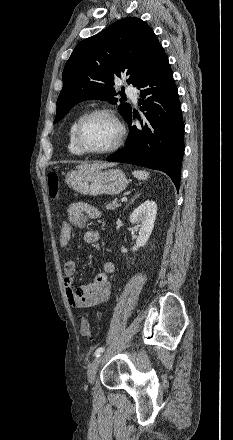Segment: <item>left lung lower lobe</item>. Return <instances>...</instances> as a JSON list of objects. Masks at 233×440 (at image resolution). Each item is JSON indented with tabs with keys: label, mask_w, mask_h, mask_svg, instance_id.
Instances as JSON below:
<instances>
[{
	"label": "left lung lower lobe",
	"mask_w": 233,
	"mask_h": 440,
	"mask_svg": "<svg viewBox=\"0 0 233 440\" xmlns=\"http://www.w3.org/2000/svg\"><path fill=\"white\" fill-rule=\"evenodd\" d=\"M144 119L141 127L131 126L135 115L126 119L131 126L125 146L107 161L124 162L160 170L180 186L184 153V123L178 90L164 50L154 60L147 76L137 86ZM140 119V118H139Z\"/></svg>",
	"instance_id": "1"
}]
</instances>
